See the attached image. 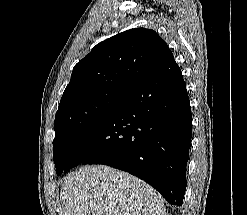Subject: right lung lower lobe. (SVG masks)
<instances>
[{
    "mask_svg": "<svg viewBox=\"0 0 247 215\" xmlns=\"http://www.w3.org/2000/svg\"><path fill=\"white\" fill-rule=\"evenodd\" d=\"M192 137V114L181 69L170 56L123 107L74 145L70 168L104 164L129 172L181 206Z\"/></svg>",
    "mask_w": 247,
    "mask_h": 215,
    "instance_id": "1",
    "label": "right lung lower lobe"
}]
</instances>
